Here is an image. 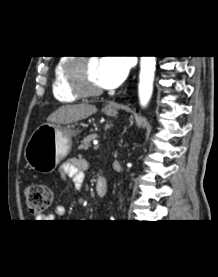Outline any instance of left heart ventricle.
<instances>
[{
    "label": "left heart ventricle",
    "instance_id": "left-heart-ventricle-1",
    "mask_svg": "<svg viewBox=\"0 0 218 277\" xmlns=\"http://www.w3.org/2000/svg\"><path fill=\"white\" fill-rule=\"evenodd\" d=\"M86 83L89 87H100L98 82V62L90 60L86 64Z\"/></svg>",
    "mask_w": 218,
    "mask_h": 277
}]
</instances>
